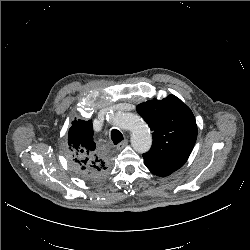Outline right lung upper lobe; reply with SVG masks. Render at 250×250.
Returning <instances> with one entry per match:
<instances>
[{"instance_id":"obj_1","label":"right lung upper lobe","mask_w":250,"mask_h":250,"mask_svg":"<svg viewBox=\"0 0 250 250\" xmlns=\"http://www.w3.org/2000/svg\"><path fill=\"white\" fill-rule=\"evenodd\" d=\"M68 155L82 170L109 169V159L93 141L92 120H74L68 132Z\"/></svg>"}]
</instances>
